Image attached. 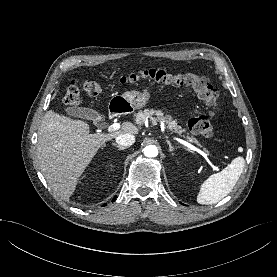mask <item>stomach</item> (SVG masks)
<instances>
[{
	"label": "stomach",
	"instance_id": "1",
	"mask_svg": "<svg viewBox=\"0 0 277 277\" xmlns=\"http://www.w3.org/2000/svg\"><path fill=\"white\" fill-rule=\"evenodd\" d=\"M150 98L148 88L140 91H126L122 95H116L109 102L110 109L113 112L128 114L136 109L143 108Z\"/></svg>",
	"mask_w": 277,
	"mask_h": 277
}]
</instances>
